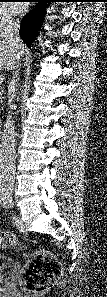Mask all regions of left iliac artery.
<instances>
[{
    "label": "left iliac artery",
    "mask_w": 107,
    "mask_h": 297,
    "mask_svg": "<svg viewBox=\"0 0 107 297\" xmlns=\"http://www.w3.org/2000/svg\"><path fill=\"white\" fill-rule=\"evenodd\" d=\"M0 202H1V204H3L4 206L6 205L5 197H4L3 194H1V196H0Z\"/></svg>",
    "instance_id": "obj_1"
}]
</instances>
